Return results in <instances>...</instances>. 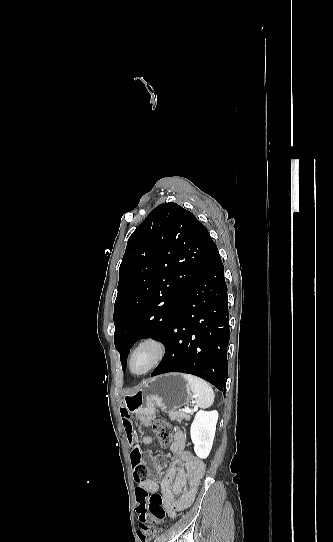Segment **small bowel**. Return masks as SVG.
Returning <instances> with one entry per match:
<instances>
[{"instance_id": "small-bowel-1", "label": "small bowel", "mask_w": 333, "mask_h": 542, "mask_svg": "<svg viewBox=\"0 0 333 542\" xmlns=\"http://www.w3.org/2000/svg\"><path fill=\"white\" fill-rule=\"evenodd\" d=\"M134 414L133 409H122L120 416L129 441L131 460L136 463L142 454L140 439L134 426L136 423ZM141 422L146 427L151 425L149 418L147 421ZM152 441L153 438L149 434L143 435L141 438V442L146 445L151 444ZM170 451L172 459L165 474L160 479L143 480L139 482V487L150 492L160 491L168 515L175 517L193 503L197 488L204 477L206 466L202 459L186 450V440L180 431L175 434ZM143 460L146 463H151L154 460V455L151 452H146L143 455ZM155 460L158 463H163L166 460V455L163 452H158L155 455ZM161 471L162 469H157L156 474H161Z\"/></svg>"}]
</instances>
